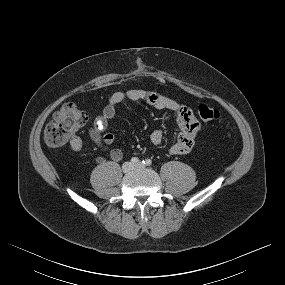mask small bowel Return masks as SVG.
<instances>
[{
  "label": "small bowel",
  "instance_id": "obj_1",
  "mask_svg": "<svg viewBox=\"0 0 285 285\" xmlns=\"http://www.w3.org/2000/svg\"><path fill=\"white\" fill-rule=\"evenodd\" d=\"M124 101H141L158 110L173 112L176 116L180 132L177 139L170 147V153L182 155L188 153L192 149L194 140L201 126L188 107L173 99L151 91L129 89L113 93L102 113L96 117L93 125L89 128V137L100 150H106L107 147L115 141L114 134L105 132V130L108 127L109 120L115 115L116 107ZM150 140L155 146H160L164 140L163 131L159 129L153 131ZM69 145L73 152H79L83 147V142L80 136L75 134L71 137ZM110 158L115 162H119L123 158V152L118 148H113L110 150Z\"/></svg>",
  "mask_w": 285,
  "mask_h": 285
}]
</instances>
